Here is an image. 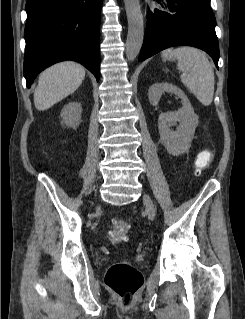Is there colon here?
<instances>
[{"mask_svg":"<svg viewBox=\"0 0 245 319\" xmlns=\"http://www.w3.org/2000/svg\"><path fill=\"white\" fill-rule=\"evenodd\" d=\"M212 161V153L204 151L197 157L195 170L203 172ZM111 236L116 241L123 240L130 230V225L122 219H114L110 223ZM105 285L125 304L131 303L143 284L142 274L137 268L126 263L116 262L106 272Z\"/></svg>","mask_w":245,"mask_h":319,"instance_id":"5ec220e1","label":"colon"}]
</instances>
